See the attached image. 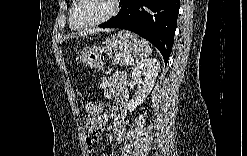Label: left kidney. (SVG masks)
I'll return each mask as SVG.
<instances>
[{
	"instance_id": "5707ae66",
	"label": "left kidney",
	"mask_w": 247,
	"mask_h": 156,
	"mask_svg": "<svg viewBox=\"0 0 247 156\" xmlns=\"http://www.w3.org/2000/svg\"><path fill=\"white\" fill-rule=\"evenodd\" d=\"M160 70V62L155 58L141 60L132 72V80L138 85V92L134 100L127 103L128 110L134 111L142 104L151 92Z\"/></svg>"
}]
</instances>
